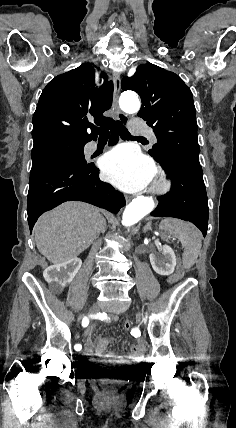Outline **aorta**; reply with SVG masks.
Returning <instances> with one entry per match:
<instances>
[{"label": "aorta", "mask_w": 236, "mask_h": 428, "mask_svg": "<svg viewBox=\"0 0 236 428\" xmlns=\"http://www.w3.org/2000/svg\"><path fill=\"white\" fill-rule=\"evenodd\" d=\"M120 108L129 114L139 111L140 101L135 92H123L119 99ZM155 207L154 201L151 197H138L134 199L128 206H126L123 216L122 224L126 227L136 224L144 216L149 214Z\"/></svg>", "instance_id": "1"}]
</instances>
